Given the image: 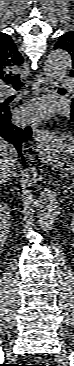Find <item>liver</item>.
Masks as SVG:
<instances>
[{"instance_id":"6515ba94","label":"liver","mask_w":74,"mask_h":366,"mask_svg":"<svg viewBox=\"0 0 74 366\" xmlns=\"http://www.w3.org/2000/svg\"><path fill=\"white\" fill-rule=\"evenodd\" d=\"M18 152L13 145L0 139V180L1 182L16 173Z\"/></svg>"}]
</instances>
